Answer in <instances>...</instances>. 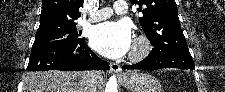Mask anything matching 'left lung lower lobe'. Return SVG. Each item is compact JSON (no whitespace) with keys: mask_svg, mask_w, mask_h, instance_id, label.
Returning a JSON list of instances; mask_svg holds the SVG:
<instances>
[{"mask_svg":"<svg viewBox=\"0 0 225 92\" xmlns=\"http://www.w3.org/2000/svg\"><path fill=\"white\" fill-rule=\"evenodd\" d=\"M162 68L193 70L195 65L189 51L155 52L152 50V52L141 62L122 66V69L157 70Z\"/></svg>","mask_w":225,"mask_h":92,"instance_id":"0a47b994","label":"left lung lower lobe"}]
</instances>
